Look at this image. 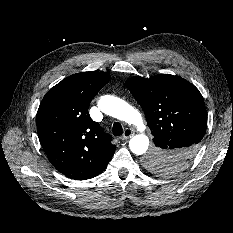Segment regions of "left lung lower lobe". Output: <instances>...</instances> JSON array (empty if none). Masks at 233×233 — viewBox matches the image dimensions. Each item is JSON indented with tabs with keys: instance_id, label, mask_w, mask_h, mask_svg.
<instances>
[{
	"instance_id": "0a47b994",
	"label": "left lung lower lobe",
	"mask_w": 233,
	"mask_h": 233,
	"mask_svg": "<svg viewBox=\"0 0 233 233\" xmlns=\"http://www.w3.org/2000/svg\"><path fill=\"white\" fill-rule=\"evenodd\" d=\"M191 141L178 134H163L154 137V143L172 155L167 161L178 164L181 167L195 156Z\"/></svg>"
}]
</instances>
